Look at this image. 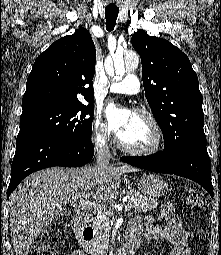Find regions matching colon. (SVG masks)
<instances>
[{
  "label": "colon",
  "mask_w": 221,
  "mask_h": 255,
  "mask_svg": "<svg viewBox=\"0 0 221 255\" xmlns=\"http://www.w3.org/2000/svg\"><path fill=\"white\" fill-rule=\"evenodd\" d=\"M203 201V196L200 193H192L187 199L188 204L193 207L201 206ZM60 231V225L55 223L45 239L42 242L36 244L30 251L29 255H55V250L52 244L57 241Z\"/></svg>",
  "instance_id": "colon-1"
}]
</instances>
